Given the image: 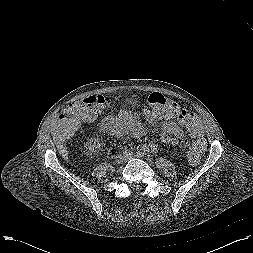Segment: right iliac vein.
Returning a JSON list of instances; mask_svg holds the SVG:
<instances>
[{
    "mask_svg": "<svg viewBox=\"0 0 253 253\" xmlns=\"http://www.w3.org/2000/svg\"><path fill=\"white\" fill-rule=\"evenodd\" d=\"M124 160H125V159H124V157H122V156H117L116 159H115L116 163H118V164L124 162Z\"/></svg>",
    "mask_w": 253,
    "mask_h": 253,
    "instance_id": "obj_1",
    "label": "right iliac vein"
}]
</instances>
